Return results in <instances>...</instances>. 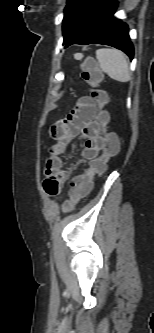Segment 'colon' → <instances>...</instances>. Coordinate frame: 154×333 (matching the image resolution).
Wrapping results in <instances>:
<instances>
[{"label":"colon","instance_id":"1","mask_svg":"<svg viewBox=\"0 0 154 333\" xmlns=\"http://www.w3.org/2000/svg\"><path fill=\"white\" fill-rule=\"evenodd\" d=\"M81 77L91 87V97L99 108L96 119L104 133V144L101 156L92 160L87 170L72 180L69 197L62 206L65 212L72 211L75 205L90 192L94 177L105 172L109 160L119 151L117 135L107 130L109 114L103 107L106 105L108 97L106 92L99 87L103 76L92 58H87L81 65Z\"/></svg>","mask_w":154,"mask_h":333}]
</instances>
